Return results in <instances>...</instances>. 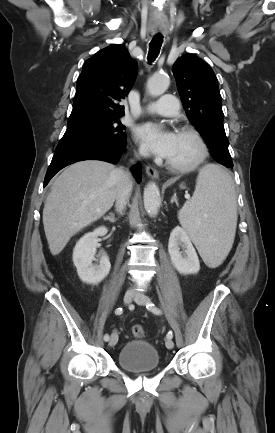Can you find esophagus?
Masks as SVG:
<instances>
[{
    "instance_id": "obj_1",
    "label": "esophagus",
    "mask_w": 275,
    "mask_h": 433,
    "mask_svg": "<svg viewBox=\"0 0 275 433\" xmlns=\"http://www.w3.org/2000/svg\"><path fill=\"white\" fill-rule=\"evenodd\" d=\"M145 170H146V173L149 177H151L153 179L159 178L158 171L155 168H153L152 166H146Z\"/></svg>"
}]
</instances>
